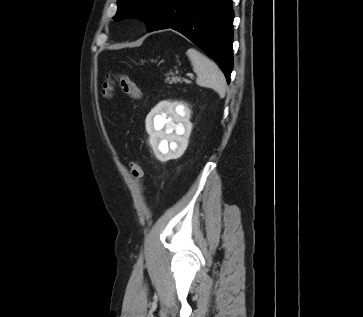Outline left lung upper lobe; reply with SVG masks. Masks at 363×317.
I'll list each match as a JSON object with an SVG mask.
<instances>
[{
	"label": "left lung upper lobe",
	"mask_w": 363,
	"mask_h": 317,
	"mask_svg": "<svg viewBox=\"0 0 363 317\" xmlns=\"http://www.w3.org/2000/svg\"><path fill=\"white\" fill-rule=\"evenodd\" d=\"M163 0H118V11L113 17L120 20L129 16H139L146 21L147 27L153 22Z\"/></svg>",
	"instance_id": "5c2ea615"
}]
</instances>
